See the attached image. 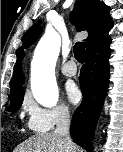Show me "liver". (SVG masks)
Listing matches in <instances>:
<instances>
[{"mask_svg": "<svg viewBox=\"0 0 123 152\" xmlns=\"http://www.w3.org/2000/svg\"><path fill=\"white\" fill-rule=\"evenodd\" d=\"M72 142L65 143L63 138L54 132L36 134L21 143L14 152H74Z\"/></svg>", "mask_w": 123, "mask_h": 152, "instance_id": "obj_1", "label": "liver"}]
</instances>
